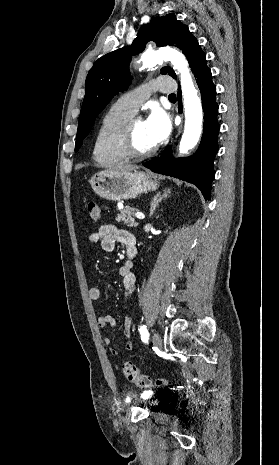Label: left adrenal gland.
I'll return each mask as SVG.
<instances>
[{
  "mask_svg": "<svg viewBox=\"0 0 279 465\" xmlns=\"http://www.w3.org/2000/svg\"><path fill=\"white\" fill-rule=\"evenodd\" d=\"M170 193H171V189H167V190H163V194H161V192H159L154 196V198L151 201V205H150L149 217H151L153 215L154 211L159 206V203L163 199H166L167 197L170 196Z\"/></svg>",
  "mask_w": 279,
  "mask_h": 465,
  "instance_id": "left-adrenal-gland-1",
  "label": "left adrenal gland"
}]
</instances>
